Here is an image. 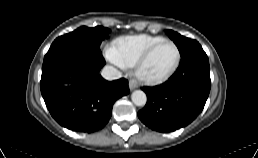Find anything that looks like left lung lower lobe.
Masks as SVG:
<instances>
[{"label":"left lung lower lobe","mask_w":258,"mask_h":158,"mask_svg":"<svg viewBox=\"0 0 258 158\" xmlns=\"http://www.w3.org/2000/svg\"><path fill=\"white\" fill-rule=\"evenodd\" d=\"M211 87L210 66L199 43L182 55L176 72L165 83L143 87L147 104L140 120L159 132H170L191 123L203 110Z\"/></svg>","instance_id":"obj_1"}]
</instances>
